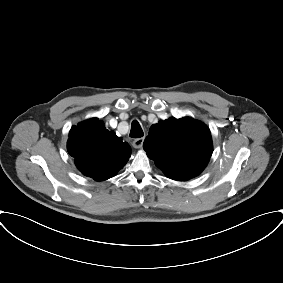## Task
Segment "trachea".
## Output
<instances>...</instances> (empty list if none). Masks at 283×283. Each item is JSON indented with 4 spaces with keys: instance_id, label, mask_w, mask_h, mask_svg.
I'll return each instance as SVG.
<instances>
[{
    "instance_id": "obj_1",
    "label": "trachea",
    "mask_w": 283,
    "mask_h": 283,
    "mask_svg": "<svg viewBox=\"0 0 283 283\" xmlns=\"http://www.w3.org/2000/svg\"><path fill=\"white\" fill-rule=\"evenodd\" d=\"M144 135L143 130L137 120H134L131 124L130 137L140 138Z\"/></svg>"
}]
</instances>
